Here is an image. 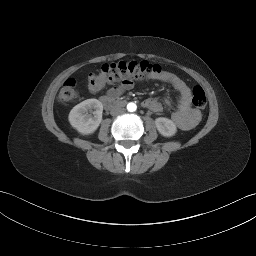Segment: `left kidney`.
<instances>
[{
	"label": "left kidney",
	"instance_id": "left-kidney-1",
	"mask_svg": "<svg viewBox=\"0 0 256 256\" xmlns=\"http://www.w3.org/2000/svg\"><path fill=\"white\" fill-rule=\"evenodd\" d=\"M155 125L158 132L165 137H171L175 135V133L177 132L175 123L172 120L165 117L157 118L155 120Z\"/></svg>",
	"mask_w": 256,
	"mask_h": 256
}]
</instances>
